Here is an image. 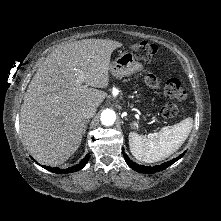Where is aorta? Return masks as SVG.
<instances>
[{
  "label": "aorta",
  "instance_id": "762f6f07",
  "mask_svg": "<svg viewBox=\"0 0 221 221\" xmlns=\"http://www.w3.org/2000/svg\"><path fill=\"white\" fill-rule=\"evenodd\" d=\"M101 123L105 126H111L116 120V114L113 110L106 109L101 113Z\"/></svg>",
  "mask_w": 221,
  "mask_h": 221
}]
</instances>
